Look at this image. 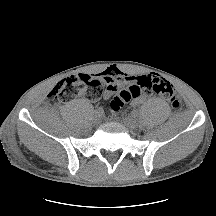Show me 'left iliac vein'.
<instances>
[{"label":"left iliac vein","mask_w":216,"mask_h":216,"mask_svg":"<svg viewBox=\"0 0 216 216\" xmlns=\"http://www.w3.org/2000/svg\"><path fill=\"white\" fill-rule=\"evenodd\" d=\"M124 124L131 131L136 130L138 127V121L133 114L124 119Z\"/></svg>","instance_id":"obj_1"}]
</instances>
